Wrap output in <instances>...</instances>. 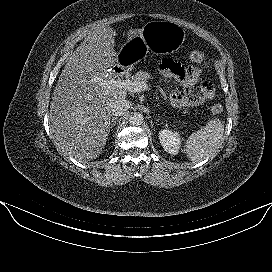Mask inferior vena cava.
Segmentation results:
<instances>
[{"label":"inferior vena cava","instance_id":"inferior-vena-cava-1","mask_svg":"<svg viewBox=\"0 0 272 272\" xmlns=\"http://www.w3.org/2000/svg\"><path fill=\"white\" fill-rule=\"evenodd\" d=\"M129 109V102L125 99H117L111 104V111L114 116H122Z\"/></svg>","mask_w":272,"mask_h":272}]
</instances>
